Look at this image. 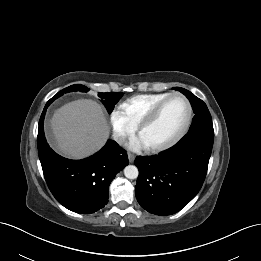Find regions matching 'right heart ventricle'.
<instances>
[{
	"label": "right heart ventricle",
	"mask_w": 261,
	"mask_h": 261,
	"mask_svg": "<svg viewBox=\"0 0 261 261\" xmlns=\"http://www.w3.org/2000/svg\"><path fill=\"white\" fill-rule=\"evenodd\" d=\"M169 93H149L133 96L121 104V110L128 120L137 127L150 110Z\"/></svg>",
	"instance_id": "right-heart-ventricle-1"
}]
</instances>
